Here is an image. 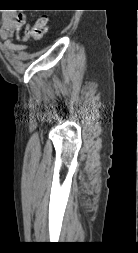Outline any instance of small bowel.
<instances>
[{
    "label": "small bowel",
    "mask_w": 138,
    "mask_h": 253,
    "mask_svg": "<svg viewBox=\"0 0 138 253\" xmlns=\"http://www.w3.org/2000/svg\"><path fill=\"white\" fill-rule=\"evenodd\" d=\"M30 37V26L26 21V15L16 11H5L0 21V38L5 46L13 51L28 49L25 44H17L14 40L25 42Z\"/></svg>",
    "instance_id": "obj_1"
}]
</instances>
